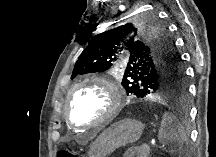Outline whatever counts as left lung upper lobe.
Instances as JSON below:
<instances>
[{"label": "left lung upper lobe", "instance_id": "obj_1", "mask_svg": "<svg viewBox=\"0 0 216 157\" xmlns=\"http://www.w3.org/2000/svg\"><path fill=\"white\" fill-rule=\"evenodd\" d=\"M157 15H130L117 27L94 36L79 56L71 79L79 74L120 69L122 86L138 98L185 97L186 74L166 23Z\"/></svg>", "mask_w": 216, "mask_h": 157}]
</instances>
